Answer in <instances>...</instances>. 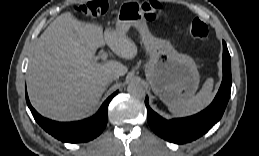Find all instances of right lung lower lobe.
<instances>
[{"instance_id": "98d812e1", "label": "right lung lower lobe", "mask_w": 259, "mask_h": 156, "mask_svg": "<svg viewBox=\"0 0 259 156\" xmlns=\"http://www.w3.org/2000/svg\"><path fill=\"white\" fill-rule=\"evenodd\" d=\"M117 93L109 96L94 116L78 122L63 123L42 117L31 106L27 92L26 101L34 119L46 132L63 142L80 143L94 139L104 130L108 121V105Z\"/></svg>"}]
</instances>
